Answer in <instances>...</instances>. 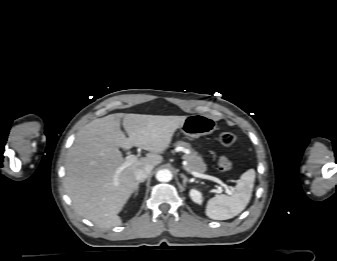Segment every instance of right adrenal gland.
Wrapping results in <instances>:
<instances>
[{
	"label": "right adrenal gland",
	"mask_w": 337,
	"mask_h": 261,
	"mask_svg": "<svg viewBox=\"0 0 337 261\" xmlns=\"http://www.w3.org/2000/svg\"><path fill=\"white\" fill-rule=\"evenodd\" d=\"M144 181H145V180H139V181L136 182V184H135V189H134V195H135V196H137V194H138L139 184L142 183V182H144Z\"/></svg>",
	"instance_id": "1"
}]
</instances>
